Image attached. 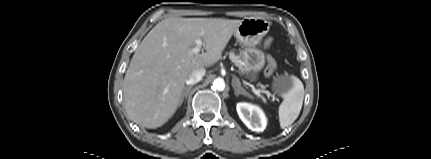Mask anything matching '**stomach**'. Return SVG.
<instances>
[{"instance_id": "0dacf381", "label": "stomach", "mask_w": 431, "mask_h": 159, "mask_svg": "<svg viewBox=\"0 0 431 159\" xmlns=\"http://www.w3.org/2000/svg\"><path fill=\"white\" fill-rule=\"evenodd\" d=\"M270 22L260 17H249L241 20L234 32L237 41L243 45L241 57L254 79L265 64V55L258 45L268 33ZM294 87L292 76L281 75L274 78L272 88L280 96H286Z\"/></svg>"}]
</instances>
